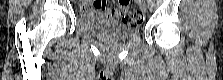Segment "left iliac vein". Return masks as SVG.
<instances>
[{
  "label": "left iliac vein",
  "instance_id": "obj_1",
  "mask_svg": "<svg viewBox=\"0 0 223 80\" xmlns=\"http://www.w3.org/2000/svg\"><path fill=\"white\" fill-rule=\"evenodd\" d=\"M140 8H141V10H142L143 12H146V10H147V4H146L145 1H142V2L140 3Z\"/></svg>",
  "mask_w": 223,
  "mask_h": 80
}]
</instances>
